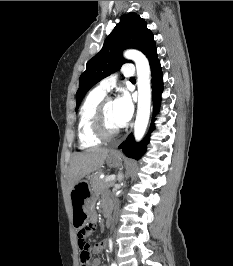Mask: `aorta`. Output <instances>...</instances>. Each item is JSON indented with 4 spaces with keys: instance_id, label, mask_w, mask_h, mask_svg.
Segmentation results:
<instances>
[{
    "instance_id": "aorta-1",
    "label": "aorta",
    "mask_w": 233,
    "mask_h": 266,
    "mask_svg": "<svg viewBox=\"0 0 233 266\" xmlns=\"http://www.w3.org/2000/svg\"><path fill=\"white\" fill-rule=\"evenodd\" d=\"M124 57L133 60L137 70L138 86V108L134 125V136L136 141H140L147 129L150 105H151V73L148 59L146 56L134 49L126 50Z\"/></svg>"
}]
</instances>
